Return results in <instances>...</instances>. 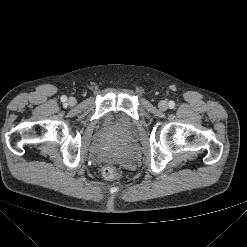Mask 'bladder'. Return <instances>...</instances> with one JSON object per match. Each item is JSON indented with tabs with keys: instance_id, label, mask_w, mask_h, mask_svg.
Returning a JSON list of instances; mask_svg holds the SVG:
<instances>
[{
	"instance_id": "1",
	"label": "bladder",
	"mask_w": 247,
	"mask_h": 247,
	"mask_svg": "<svg viewBox=\"0 0 247 247\" xmlns=\"http://www.w3.org/2000/svg\"><path fill=\"white\" fill-rule=\"evenodd\" d=\"M105 125L109 129L125 134L130 133L134 127L131 119L122 113H109L105 118Z\"/></svg>"
}]
</instances>
